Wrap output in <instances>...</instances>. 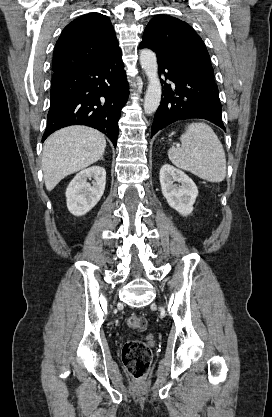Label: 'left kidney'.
Returning a JSON list of instances; mask_svg holds the SVG:
<instances>
[{"label":"left kidney","instance_id":"1","mask_svg":"<svg viewBox=\"0 0 272 417\" xmlns=\"http://www.w3.org/2000/svg\"><path fill=\"white\" fill-rule=\"evenodd\" d=\"M159 177L162 194L169 206L183 216L191 214L198 196V189L193 180L169 164L161 167Z\"/></svg>","mask_w":272,"mask_h":417}]
</instances>
